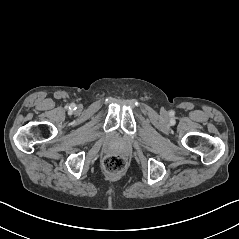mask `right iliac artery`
I'll use <instances>...</instances> for the list:
<instances>
[{
	"label": "right iliac artery",
	"instance_id": "right-iliac-artery-1",
	"mask_svg": "<svg viewBox=\"0 0 239 239\" xmlns=\"http://www.w3.org/2000/svg\"><path fill=\"white\" fill-rule=\"evenodd\" d=\"M70 109H71V110H75V109H76L75 104H71V105H70Z\"/></svg>",
	"mask_w": 239,
	"mask_h": 239
}]
</instances>
